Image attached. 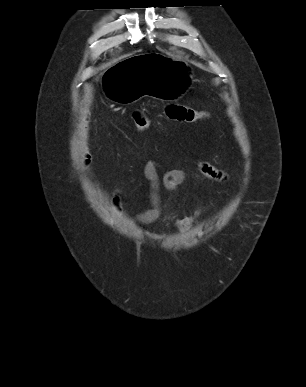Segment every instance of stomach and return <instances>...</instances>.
<instances>
[{"mask_svg": "<svg viewBox=\"0 0 306 387\" xmlns=\"http://www.w3.org/2000/svg\"><path fill=\"white\" fill-rule=\"evenodd\" d=\"M159 46H141L140 55H132L110 70H102L106 97L115 103L131 104L141 96L148 99H175L191 82L187 63L159 53Z\"/></svg>", "mask_w": 306, "mask_h": 387, "instance_id": "0dacf381", "label": "stomach"}]
</instances>
